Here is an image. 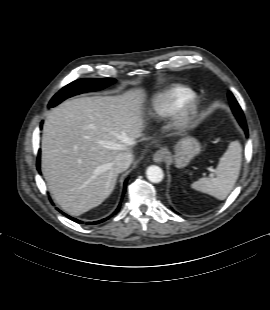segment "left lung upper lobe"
<instances>
[{
  "label": "left lung upper lobe",
  "mask_w": 270,
  "mask_h": 310,
  "mask_svg": "<svg viewBox=\"0 0 270 310\" xmlns=\"http://www.w3.org/2000/svg\"><path fill=\"white\" fill-rule=\"evenodd\" d=\"M228 97H229V101L231 104V108H232L238 122L243 127V129H247L243 112H242L239 104L237 103L235 97L233 96V94L231 92H229Z\"/></svg>",
  "instance_id": "obj_1"
}]
</instances>
